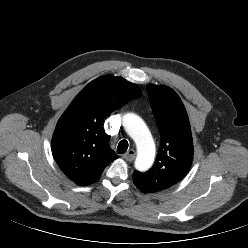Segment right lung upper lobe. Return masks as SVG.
Wrapping results in <instances>:
<instances>
[{
    "label": "right lung upper lobe",
    "mask_w": 248,
    "mask_h": 248,
    "mask_svg": "<svg viewBox=\"0 0 248 248\" xmlns=\"http://www.w3.org/2000/svg\"><path fill=\"white\" fill-rule=\"evenodd\" d=\"M141 96L136 84L113 75L101 76L74 98L59 119L53 138V157L63 173L80 186L97 181L118 156L108 144L104 118Z\"/></svg>",
    "instance_id": "obj_1"
}]
</instances>
